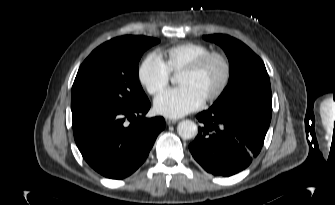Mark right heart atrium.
Returning a JSON list of instances; mask_svg holds the SVG:
<instances>
[{
	"instance_id": "1",
	"label": "right heart atrium",
	"mask_w": 335,
	"mask_h": 205,
	"mask_svg": "<svg viewBox=\"0 0 335 205\" xmlns=\"http://www.w3.org/2000/svg\"><path fill=\"white\" fill-rule=\"evenodd\" d=\"M171 73L156 53H150L141 62L138 69V80L145 90L156 95L169 83Z\"/></svg>"
}]
</instances>
